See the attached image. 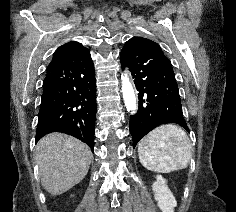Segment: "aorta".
Listing matches in <instances>:
<instances>
[{"mask_svg":"<svg viewBox=\"0 0 236 212\" xmlns=\"http://www.w3.org/2000/svg\"><path fill=\"white\" fill-rule=\"evenodd\" d=\"M121 80H122L121 89L126 109L131 114H134L136 113L137 110V99L127 71H124L121 74Z\"/></svg>","mask_w":236,"mask_h":212,"instance_id":"1","label":"aorta"}]
</instances>
